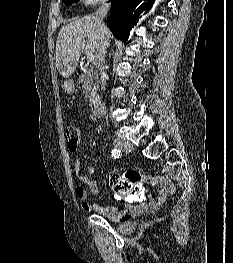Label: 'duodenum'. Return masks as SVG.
<instances>
[{
	"label": "duodenum",
	"instance_id": "duodenum-1",
	"mask_svg": "<svg viewBox=\"0 0 233 263\" xmlns=\"http://www.w3.org/2000/svg\"><path fill=\"white\" fill-rule=\"evenodd\" d=\"M97 94V95H96ZM87 98H90V105L92 113L100 117L104 114V99L100 96V86L97 85V82H90V85L87 86Z\"/></svg>",
	"mask_w": 233,
	"mask_h": 263
}]
</instances>
